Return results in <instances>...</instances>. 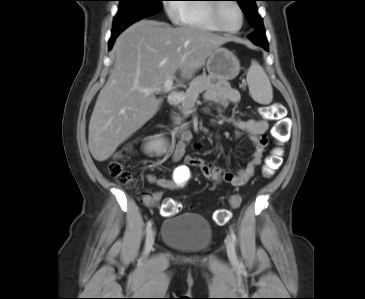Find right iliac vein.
Instances as JSON below:
<instances>
[{
  "instance_id": "obj_1",
  "label": "right iliac vein",
  "mask_w": 365,
  "mask_h": 299,
  "mask_svg": "<svg viewBox=\"0 0 365 299\" xmlns=\"http://www.w3.org/2000/svg\"><path fill=\"white\" fill-rule=\"evenodd\" d=\"M154 241H155V231L153 229H151L148 232L147 237H146L144 251H143L144 257H147L150 254V252L153 248Z\"/></svg>"
}]
</instances>
